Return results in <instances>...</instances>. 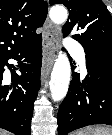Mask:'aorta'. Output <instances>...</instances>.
I'll list each match as a JSON object with an SVG mask.
<instances>
[{"mask_svg": "<svg viewBox=\"0 0 112 135\" xmlns=\"http://www.w3.org/2000/svg\"><path fill=\"white\" fill-rule=\"evenodd\" d=\"M49 16L55 24H64L67 20L68 13L63 6H53L50 9ZM71 77V66L67 55L59 52L55 61L50 80V91L52 100L58 102L65 98Z\"/></svg>", "mask_w": 112, "mask_h": 135, "instance_id": "aorta-1", "label": "aorta"}]
</instances>
